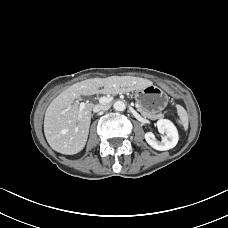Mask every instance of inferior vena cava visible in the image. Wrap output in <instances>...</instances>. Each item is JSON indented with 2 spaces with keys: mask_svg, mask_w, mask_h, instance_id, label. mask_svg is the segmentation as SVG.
Listing matches in <instances>:
<instances>
[{
  "mask_svg": "<svg viewBox=\"0 0 228 228\" xmlns=\"http://www.w3.org/2000/svg\"><path fill=\"white\" fill-rule=\"evenodd\" d=\"M109 108H110L109 104H97V105L94 106L93 112L94 113H98L100 111L108 110Z\"/></svg>",
  "mask_w": 228,
  "mask_h": 228,
  "instance_id": "obj_1",
  "label": "inferior vena cava"
}]
</instances>
